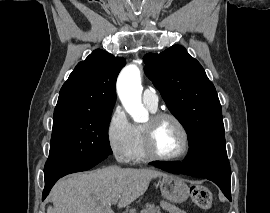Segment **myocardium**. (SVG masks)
<instances>
[{
    "label": "myocardium",
    "mask_w": 270,
    "mask_h": 213,
    "mask_svg": "<svg viewBox=\"0 0 270 213\" xmlns=\"http://www.w3.org/2000/svg\"><path fill=\"white\" fill-rule=\"evenodd\" d=\"M164 119L172 120L182 133L183 141H184L183 148L176 155L164 156V155L159 154L154 148L153 134H154L155 127L157 126L159 122H161ZM141 137H142V144H143L144 152L147 158L151 160L169 161V162L179 161L185 158L188 155L189 150H190V136H189V132L186 126L180 120V118H178L175 114L170 113V112H165V111L154 112L149 118V123L141 127Z\"/></svg>",
    "instance_id": "myocardium-1"
}]
</instances>
